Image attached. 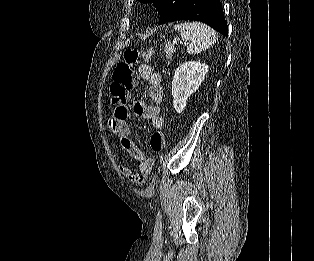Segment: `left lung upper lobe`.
I'll list each match as a JSON object with an SVG mask.
<instances>
[{
    "instance_id": "5c2ea615",
    "label": "left lung upper lobe",
    "mask_w": 314,
    "mask_h": 261,
    "mask_svg": "<svg viewBox=\"0 0 314 261\" xmlns=\"http://www.w3.org/2000/svg\"><path fill=\"white\" fill-rule=\"evenodd\" d=\"M142 3H153L160 14L159 24H164L177 12L183 0H139Z\"/></svg>"
}]
</instances>
